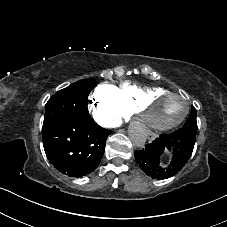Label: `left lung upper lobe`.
<instances>
[{
  "instance_id": "left-lung-upper-lobe-1",
  "label": "left lung upper lobe",
  "mask_w": 227,
  "mask_h": 227,
  "mask_svg": "<svg viewBox=\"0 0 227 227\" xmlns=\"http://www.w3.org/2000/svg\"><path fill=\"white\" fill-rule=\"evenodd\" d=\"M185 132L197 133L196 109L192 106L189 118L180 129Z\"/></svg>"
}]
</instances>
